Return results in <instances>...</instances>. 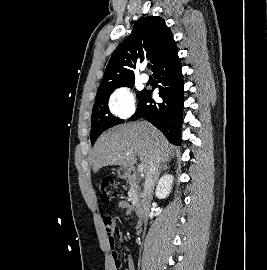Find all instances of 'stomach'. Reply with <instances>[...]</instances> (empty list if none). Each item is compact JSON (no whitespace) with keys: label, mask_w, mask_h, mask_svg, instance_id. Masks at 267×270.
<instances>
[{"label":"stomach","mask_w":267,"mask_h":270,"mask_svg":"<svg viewBox=\"0 0 267 270\" xmlns=\"http://www.w3.org/2000/svg\"><path fill=\"white\" fill-rule=\"evenodd\" d=\"M129 169L128 168H125V167H120L117 169V174H118V177L122 178V179H125L129 176Z\"/></svg>","instance_id":"obj_1"}]
</instances>
